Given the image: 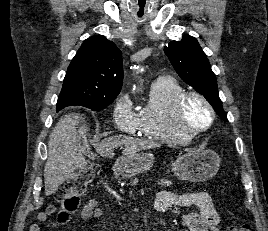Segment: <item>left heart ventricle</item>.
<instances>
[{"label": "left heart ventricle", "instance_id": "obj_1", "mask_svg": "<svg viewBox=\"0 0 268 231\" xmlns=\"http://www.w3.org/2000/svg\"><path fill=\"white\" fill-rule=\"evenodd\" d=\"M210 121L207 107L195 98L186 101L183 110L182 123L188 130H194Z\"/></svg>", "mask_w": 268, "mask_h": 231}]
</instances>
